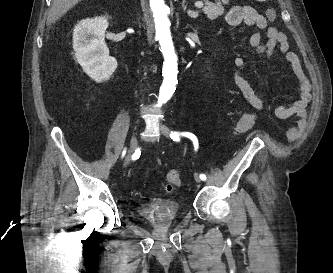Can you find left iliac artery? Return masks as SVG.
<instances>
[{
  "mask_svg": "<svg viewBox=\"0 0 333 273\" xmlns=\"http://www.w3.org/2000/svg\"><path fill=\"white\" fill-rule=\"evenodd\" d=\"M179 136H185V137L191 139V141L194 144L195 151H197V149L199 147V144H198V139H197V137L194 134L189 133V132H181V133H179V132H173V131L170 134L171 139H173L174 141H179L180 140ZM199 177L203 181L206 180V178H207L205 174H200Z\"/></svg>",
  "mask_w": 333,
  "mask_h": 273,
  "instance_id": "left-iliac-artery-1",
  "label": "left iliac artery"
}]
</instances>
